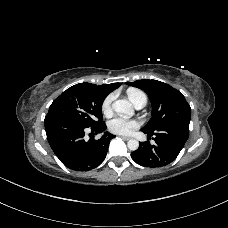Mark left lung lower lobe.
I'll list each match as a JSON object with an SVG mask.
<instances>
[{"label": "left lung lower lobe", "instance_id": "1", "mask_svg": "<svg viewBox=\"0 0 228 228\" xmlns=\"http://www.w3.org/2000/svg\"><path fill=\"white\" fill-rule=\"evenodd\" d=\"M189 122L183 120L170 123L154 132L142 129L148 137L155 135L153 138L155 144L152 145L149 141L142 142L139 148L131 153L132 159L141 166L150 168L170 164L176 159L188 139Z\"/></svg>", "mask_w": 228, "mask_h": 228}]
</instances>
